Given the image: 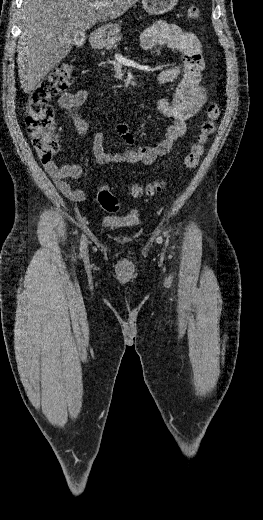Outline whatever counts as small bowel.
<instances>
[{"mask_svg":"<svg viewBox=\"0 0 263 520\" xmlns=\"http://www.w3.org/2000/svg\"><path fill=\"white\" fill-rule=\"evenodd\" d=\"M141 46L146 51L166 46L182 55V67L166 68L157 77L158 84L165 85L175 81L181 75L172 97L170 99L161 97L156 102L160 113L171 118L172 123L167 126L164 137L156 142L118 153L107 152L104 148L103 133H96L92 150L98 164L142 163L149 165L153 163L157 157L167 154L174 142L185 134L188 121L201 110L206 102V89L201 82L205 65L203 52L198 38L193 33L184 31L177 25L158 21L143 31ZM88 95V90L78 89L74 92H65L58 99L59 108L71 118L80 137L86 135L88 124L76 109L87 101ZM116 132L125 144L134 146L135 138L127 123H119L116 126ZM44 167L57 188L67 198L75 202L86 199L84 190L74 189L68 182L69 179H78L81 176L82 168L78 163L60 165L50 161L45 163Z\"/></svg>","mask_w":263,"mask_h":520,"instance_id":"1","label":"small bowel"}]
</instances>
